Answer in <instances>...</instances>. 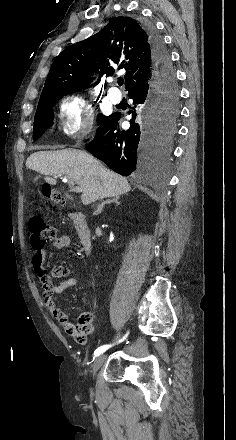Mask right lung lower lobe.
I'll list each match as a JSON object with an SVG mask.
<instances>
[{
	"instance_id": "1",
	"label": "right lung lower lobe",
	"mask_w": 236,
	"mask_h": 440,
	"mask_svg": "<svg viewBox=\"0 0 236 440\" xmlns=\"http://www.w3.org/2000/svg\"><path fill=\"white\" fill-rule=\"evenodd\" d=\"M143 27L152 52L153 80L128 93L132 99L128 130L118 128L121 114L113 113L98 126L96 136L86 146L95 157L124 176L144 172L156 165L163 154L164 146L158 140L161 104L155 99L153 89L157 85L176 83L172 61L162 37L152 25L143 24Z\"/></svg>"
}]
</instances>
